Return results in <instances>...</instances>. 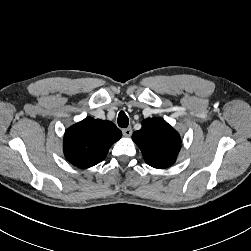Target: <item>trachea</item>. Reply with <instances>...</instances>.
I'll use <instances>...</instances> for the list:
<instances>
[{
	"mask_svg": "<svg viewBox=\"0 0 251 251\" xmlns=\"http://www.w3.org/2000/svg\"><path fill=\"white\" fill-rule=\"evenodd\" d=\"M117 121H118L119 127L127 128L129 125L128 116L126 115V113L124 111L119 112Z\"/></svg>",
	"mask_w": 251,
	"mask_h": 251,
	"instance_id": "obj_1",
	"label": "trachea"
}]
</instances>
